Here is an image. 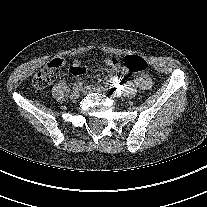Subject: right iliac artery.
I'll list each match as a JSON object with an SVG mask.
<instances>
[{
	"label": "right iliac artery",
	"mask_w": 207,
	"mask_h": 207,
	"mask_svg": "<svg viewBox=\"0 0 207 207\" xmlns=\"http://www.w3.org/2000/svg\"><path fill=\"white\" fill-rule=\"evenodd\" d=\"M83 83L81 81H78L74 84L73 89H78L80 90V88L82 87Z\"/></svg>",
	"instance_id": "obj_1"
}]
</instances>
